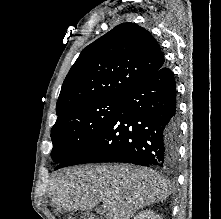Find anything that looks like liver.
<instances>
[{
  "label": "liver",
  "instance_id": "liver-1",
  "mask_svg": "<svg viewBox=\"0 0 221 219\" xmlns=\"http://www.w3.org/2000/svg\"><path fill=\"white\" fill-rule=\"evenodd\" d=\"M50 191L57 211L92 210L102 202L106 219H130L169 194L159 173L125 164L61 170L54 174Z\"/></svg>",
  "mask_w": 221,
  "mask_h": 219
}]
</instances>
